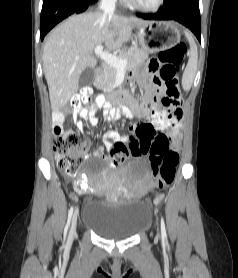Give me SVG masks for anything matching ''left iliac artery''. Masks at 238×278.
<instances>
[{
    "mask_svg": "<svg viewBox=\"0 0 238 278\" xmlns=\"http://www.w3.org/2000/svg\"><path fill=\"white\" fill-rule=\"evenodd\" d=\"M161 232H162V236L166 237V228H165V223H164L163 217L161 218Z\"/></svg>",
    "mask_w": 238,
    "mask_h": 278,
    "instance_id": "left-iliac-artery-1",
    "label": "left iliac artery"
}]
</instances>
